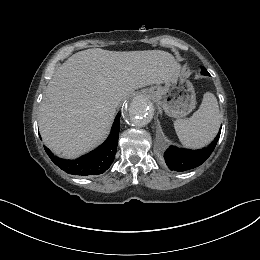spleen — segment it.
<instances>
[{
	"mask_svg": "<svg viewBox=\"0 0 260 260\" xmlns=\"http://www.w3.org/2000/svg\"><path fill=\"white\" fill-rule=\"evenodd\" d=\"M221 114L214 94L206 92L199 109L188 119L174 121L180 142L188 148L208 145L218 133Z\"/></svg>",
	"mask_w": 260,
	"mask_h": 260,
	"instance_id": "1",
	"label": "spleen"
}]
</instances>
